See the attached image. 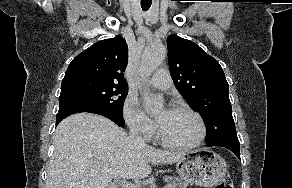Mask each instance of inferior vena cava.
<instances>
[{"label": "inferior vena cava", "mask_w": 292, "mask_h": 188, "mask_svg": "<svg viewBox=\"0 0 292 188\" xmlns=\"http://www.w3.org/2000/svg\"><path fill=\"white\" fill-rule=\"evenodd\" d=\"M129 138L132 141V143H134L135 145H138V146L146 145L144 139L140 135V128L138 124L131 125Z\"/></svg>", "instance_id": "1"}]
</instances>
